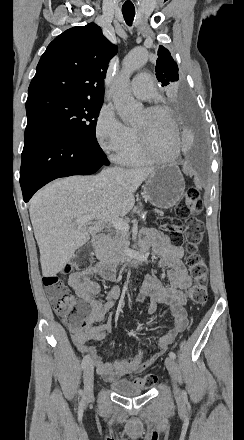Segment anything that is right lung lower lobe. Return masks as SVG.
I'll list each match as a JSON object with an SVG mask.
<instances>
[{
  "label": "right lung lower lobe",
  "instance_id": "1",
  "mask_svg": "<svg viewBox=\"0 0 244 440\" xmlns=\"http://www.w3.org/2000/svg\"><path fill=\"white\" fill-rule=\"evenodd\" d=\"M109 162L98 143H89L48 127H26L20 185L23 199L48 182L72 175H90Z\"/></svg>",
  "mask_w": 244,
  "mask_h": 440
}]
</instances>
